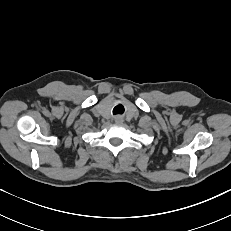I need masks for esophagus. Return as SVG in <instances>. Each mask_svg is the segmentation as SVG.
I'll return each mask as SVG.
<instances>
[{"instance_id": "1", "label": "esophagus", "mask_w": 231, "mask_h": 231, "mask_svg": "<svg viewBox=\"0 0 231 231\" xmlns=\"http://www.w3.org/2000/svg\"><path fill=\"white\" fill-rule=\"evenodd\" d=\"M123 119L120 116L115 117V122L116 123H122Z\"/></svg>"}]
</instances>
